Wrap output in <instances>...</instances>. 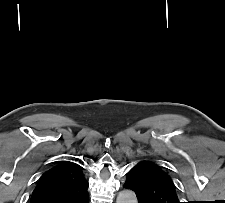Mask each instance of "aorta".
I'll return each mask as SVG.
<instances>
[{"label":"aorta","instance_id":"obj_1","mask_svg":"<svg viewBox=\"0 0 225 203\" xmlns=\"http://www.w3.org/2000/svg\"><path fill=\"white\" fill-rule=\"evenodd\" d=\"M116 203H138V201L134 192L123 190L118 194Z\"/></svg>","mask_w":225,"mask_h":203}]
</instances>
